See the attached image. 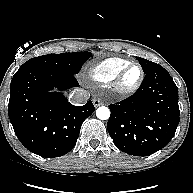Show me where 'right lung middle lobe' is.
<instances>
[{"instance_id": "right-lung-middle-lobe-1", "label": "right lung middle lobe", "mask_w": 193, "mask_h": 193, "mask_svg": "<svg viewBox=\"0 0 193 193\" xmlns=\"http://www.w3.org/2000/svg\"><path fill=\"white\" fill-rule=\"evenodd\" d=\"M92 56L90 52L48 54L32 58L25 62L17 72L42 69L77 74L82 65Z\"/></svg>"}]
</instances>
